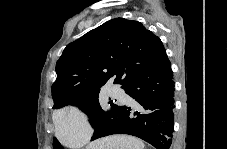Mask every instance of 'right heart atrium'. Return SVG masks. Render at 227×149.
Returning <instances> with one entry per match:
<instances>
[{"instance_id":"1","label":"right heart atrium","mask_w":227,"mask_h":149,"mask_svg":"<svg viewBox=\"0 0 227 149\" xmlns=\"http://www.w3.org/2000/svg\"><path fill=\"white\" fill-rule=\"evenodd\" d=\"M54 122L60 140L70 146L84 145L88 142L92 130L83 111L77 106L60 110Z\"/></svg>"}]
</instances>
